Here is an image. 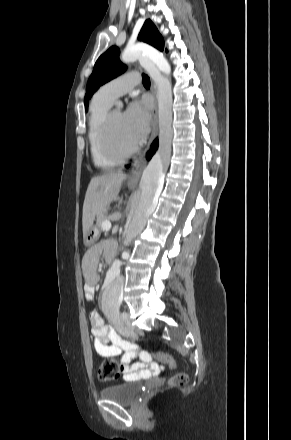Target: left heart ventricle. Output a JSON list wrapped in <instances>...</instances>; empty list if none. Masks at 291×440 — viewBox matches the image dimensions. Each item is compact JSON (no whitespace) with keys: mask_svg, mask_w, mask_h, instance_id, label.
Masks as SVG:
<instances>
[{"mask_svg":"<svg viewBox=\"0 0 291 440\" xmlns=\"http://www.w3.org/2000/svg\"><path fill=\"white\" fill-rule=\"evenodd\" d=\"M111 138L114 146L121 151L131 148L137 143L131 136L124 116L120 111H114L112 119Z\"/></svg>","mask_w":291,"mask_h":440,"instance_id":"obj_1","label":"left heart ventricle"}]
</instances>
